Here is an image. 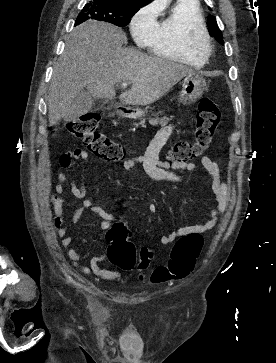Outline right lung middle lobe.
I'll return each instance as SVG.
<instances>
[{"mask_svg":"<svg viewBox=\"0 0 276 363\" xmlns=\"http://www.w3.org/2000/svg\"><path fill=\"white\" fill-rule=\"evenodd\" d=\"M141 6L111 0H90L79 13L75 25L87 20H99L123 27L130 23Z\"/></svg>","mask_w":276,"mask_h":363,"instance_id":"right-lung-middle-lobe-1","label":"right lung middle lobe"}]
</instances>
